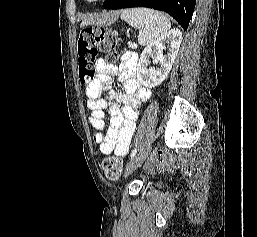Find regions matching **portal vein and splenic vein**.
Listing matches in <instances>:
<instances>
[{
    "label": "portal vein and splenic vein",
    "mask_w": 257,
    "mask_h": 237,
    "mask_svg": "<svg viewBox=\"0 0 257 237\" xmlns=\"http://www.w3.org/2000/svg\"><path fill=\"white\" fill-rule=\"evenodd\" d=\"M130 47H131L132 49H135V48H137V44L131 43V44H130Z\"/></svg>",
    "instance_id": "portal-vein-and-splenic-vein-1"
}]
</instances>
